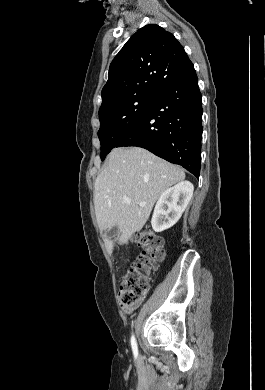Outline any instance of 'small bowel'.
<instances>
[{"label": "small bowel", "instance_id": "obj_1", "mask_svg": "<svg viewBox=\"0 0 265 390\" xmlns=\"http://www.w3.org/2000/svg\"><path fill=\"white\" fill-rule=\"evenodd\" d=\"M140 303H141V301H139V302H137V303H135V304H133L131 306H122V310L125 313L129 314V313L133 312L135 309H137L138 306L140 305Z\"/></svg>", "mask_w": 265, "mask_h": 390}]
</instances>
